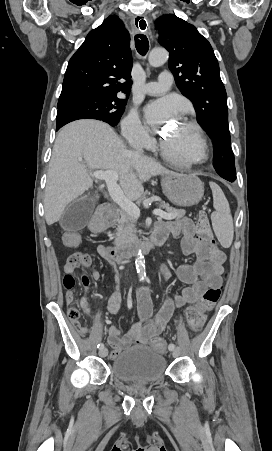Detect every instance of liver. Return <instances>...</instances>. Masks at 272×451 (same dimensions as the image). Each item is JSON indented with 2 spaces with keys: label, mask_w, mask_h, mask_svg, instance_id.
Masks as SVG:
<instances>
[{
  "label": "liver",
  "mask_w": 272,
  "mask_h": 451,
  "mask_svg": "<svg viewBox=\"0 0 272 451\" xmlns=\"http://www.w3.org/2000/svg\"><path fill=\"white\" fill-rule=\"evenodd\" d=\"M83 158L85 162H79ZM89 170H114L129 200L144 194L143 182L152 176H182L147 156L127 150L116 132L98 120H77L59 132L50 160L44 196L48 226L60 220L66 206L93 188ZM98 198V196H97Z\"/></svg>",
  "instance_id": "obj_1"
}]
</instances>
